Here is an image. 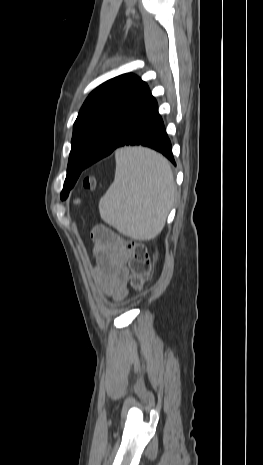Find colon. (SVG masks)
<instances>
[{"label": "colon", "instance_id": "colon-1", "mask_svg": "<svg viewBox=\"0 0 263 465\" xmlns=\"http://www.w3.org/2000/svg\"><path fill=\"white\" fill-rule=\"evenodd\" d=\"M96 180L88 176L83 181V189L93 190ZM129 255V283L133 290L141 291L148 282L151 274V259L147 247L140 242L131 241L125 248Z\"/></svg>", "mask_w": 263, "mask_h": 465}]
</instances>
